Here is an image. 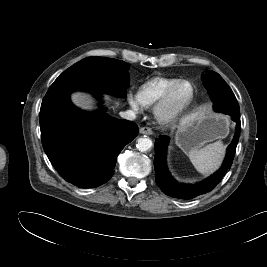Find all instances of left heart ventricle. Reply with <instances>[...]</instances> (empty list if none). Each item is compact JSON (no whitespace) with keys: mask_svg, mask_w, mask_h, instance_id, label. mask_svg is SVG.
<instances>
[{"mask_svg":"<svg viewBox=\"0 0 267 267\" xmlns=\"http://www.w3.org/2000/svg\"><path fill=\"white\" fill-rule=\"evenodd\" d=\"M189 94H190L189 86H187V85L180 86L176 90V92H175V94H174V96L172 98V102H171V107L170 108L171 109H176L179 106H181V104L188 98Z\"/></svg>","mask_w":267,"mask_h":267,"instance_id":"1","label":"left heart ventricle"}]
</instances>
